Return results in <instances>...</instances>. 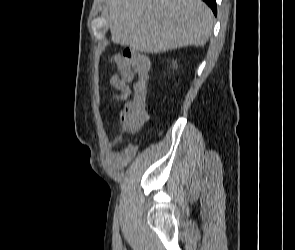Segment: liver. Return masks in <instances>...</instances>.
Returning a JSON list of instances; mask_svg holds the SVG:
<instances>
[{
	"label": "liver",
	"instance_id": "obj_1",
	"mask_svg": "<svg viewBox=\"0 0 295 250\" xmlns=\"http://www.w3.org/2000/svg\"><path fill=\"white\" fill-rule=\"evenodd\" d=\"M114 43L136 51L160 53L204 46L214 15L201 0H109Z\"/></svg>",
	"mask_w": 295,
	"mask_h": 250
}]
</instances>
